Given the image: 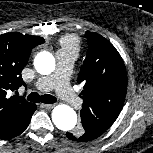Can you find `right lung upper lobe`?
I'll return each instance as SVG.
<instances>
[{"label": "right lung upper lobe", "instance_id": "obj_1", "mask_svg": "<svg viewBox=\"0 0 153 153\" xmlns=\"http://www.w3.org/2000/svg\"><path fill=\"white\" fill-rule=\"evenodd\" d=\"M42 43V37L18 32L0 35V135L8 132L34 105L23 97H9V93L25 85L21 71L31 50Z\"/></svg>", "mask_w": 153, "mask_h": 153}]
</instances>
